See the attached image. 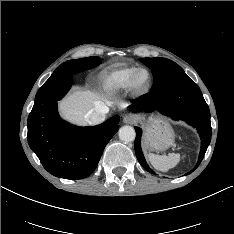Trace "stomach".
I'll return each mask as SVG.
<instances>
[{"mask_svg": "<svg viewBox=\"0 0 234 234\" xmlns=\"http://www.w3.org/2000/svg\"><path fill=\"white\" fill-rule=\"evenodd\" d=\"M175 134L171 125L160 117H150L145 126L144 146L163 151L174 144Z\"/></svg>", "mask_w": 234, "mask_h": 234, "instance_id": "1", "label": "stomach"}]
</instances>
